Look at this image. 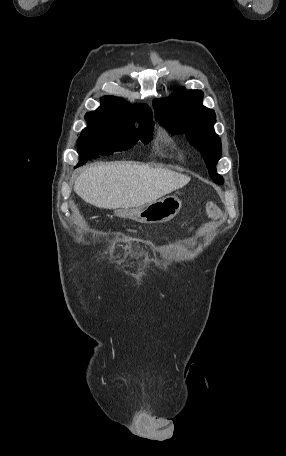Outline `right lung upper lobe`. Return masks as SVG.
<instances>
[{
    "instance_id": "obj_1",
    "label": "right lung upper lobe",
    "mask_w": 286,
    "mask_h": 456,
    "mask_svg": "<svg viewBox=\"0 0 286 456\" xmlns=\"http://www.w3.org/2000/svg\"><path fill=\"white\" fill-rule=\"evenodd\" d=\"M95 112L135 121L152 120L153 117L152 111L147 105L132 106L122 98L114 96L102 97L101 106Z\"/></svg>"
}]
</instances>
